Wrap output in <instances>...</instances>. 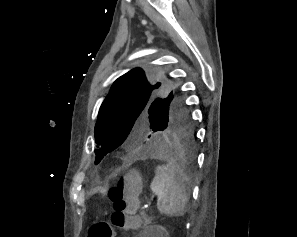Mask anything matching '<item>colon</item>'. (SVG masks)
Instances as JSON below:
<instances>
[{
    "mask_svg": "<svg viewBox=\"0 0 297 237\" xmlns=\"http://www.w3.org/2000/svg\"><path fill=\"white\" fill-rule=\"evenodd\" d=\"M140 180L136 173L126 174L108 189L107 196L113 212L108 221L90 226L88 237H112L115 231H133L141 225L137 214Z\"/></svg>",
    "mask_w": 297,
    "mask_h": 237,
    "instance_id": "colon-1",
    "label": "colon"
}]
</instances>
